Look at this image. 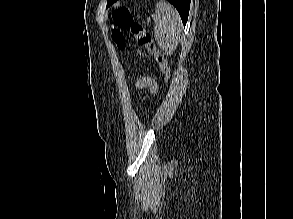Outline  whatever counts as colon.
<instances>
[{
  "label": "colon",
  "mask_w": 293,
  "mask_h": 219,
  "mask_svg": "<svg viewBox=\"0 0 293 219\" xmlns=\"http://www.w3.org/2000/svg\"><path fill=\"white\" fill-rule=\"evenodd\" d=\"M112 18L115 27L112 32V39L117 47L121 50L125 48L126 43L123 31H128L136 38L138 44L154 57L160 71L164 75L165 82L168 83L170 79L168 61L154 45L153 38L143 22L134 17L131 10L126 6L117 7L113 11Z\"/></svg>",
  "instance_id": "5ec220e1"
}]
</instances>
